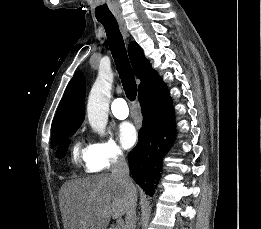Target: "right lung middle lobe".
Masks as SVG:
<instances>
[{
	"mask_svg": "<svg viewBox=\"0 0 261 229\" xmlns=\"http://www.w3.org/2000/svg\"><path fill=\"white\" fill-rule=\"evenodd\" d=\"M80 125H63L55 128L53 133L56 137H58L62 143L58 146L56 157L63 158L66 154L68 144L70 142L67 139L69 136L75 133V131L79 128Z\"/></svg>",
	"mask_w": 261,
	"mask_h": 229,
	"instance_id": "dd1d6c3e",
	"label": "right lung middle lobe"
}]
</instances>
